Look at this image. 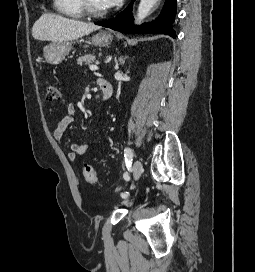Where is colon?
I'll return each mask as SVG.
<instances>
[{"mask_svg":"<svg viewBox=\"0 0 255 272\" xmlns=\"http://www.w3.org/2000/svg\"><path fill=\"white\" fill-rule=\"evenodd\" d=\"M45 96L47 100H57L59 98L58 87L50 82L48 79H45ZM83 175L85 180L91 185L98 184V177L90 163H85L83 166Z\"/></svg>","mask_w":255,"mask_h":272,"instance_id":"obj_1","label":"colon"}]
</instances>
